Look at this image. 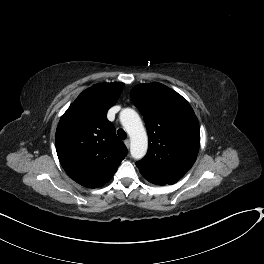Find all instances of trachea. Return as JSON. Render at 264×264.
I'll use <instances>...</instances> for the list:
<instances>
[{"instance_id":"obj_1","label":"trachea","mask_w":264,"mask_h":264,"mask_svg":"<svg viewBox=\"0 0 264 264\" xmlns=\"http://www.w3.org/2000/svg\"><path fill=\"white\" fill-rule=\"evenodd\" d=\"M117 134L121 140H125L127 138V134L123 129H118Z\"/></svg>"}]
</instances>
